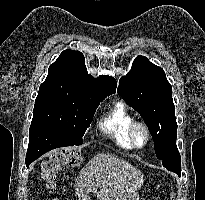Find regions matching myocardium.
Wrapping results in <instances>:
<instances>
[{
    "label": "myocardium",
    "instance_id": "obj_1",
    "mask_svg": "<svg viewBox=\"0 0 205 200\" xmlns=\"http://www.w3.org/2000/svg\"><path fill=\"white\" fill-rule=\"evenodd\" d=\"M139 130L143 131L145 135V142L142 145L138 144L136 140V134ZM128 136H129V140H130L132 147L136 149H141V148L146 147L151 140V133H150L149 127L147 126L146 123L142 121H135L132 123L128 131Z\"/></svg>",
    "mask_w": 205,
    "mask_h": 200
}]
</instances>
